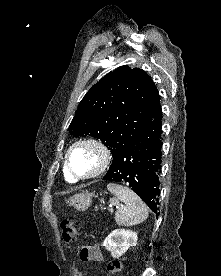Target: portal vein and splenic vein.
<instances>
[{"instance_id": "18ae733b", "label": "portal vein and splenic vein", "mask_w": 221, "mask_h": 276, "mask_svg": "<svg viewBox=\"0 0 221 276\" xmlns=\"http://www.w3.org/2000/svg\"><path fill=\"white\" fill-rule=\"evenodd\" d=\"M117 207H119V206H117ZM109 211H110V212H113L112 205H110Z\"/></svg>"}]
</instances>
